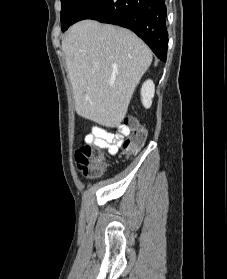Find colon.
<instances>
[{
    "mask_svg": "<svg viewBox=\"0 0 227 279\" xmlns=\"http://www.w3.org/2000/svg\"><path fill=\"white\" fill-rule=\"evenodd\" d=\"M126 124H129L133 131L131 136L124 141V155L129 157L136 154L146 141V131L140 127L137 121L133 118H127ZM94 141L91 138L86 139V143L81 145L75 153L76 165L86 175L92 177L97 176L105 165V159L97 147L93 146Z\"/></svg>",
    "mask_w": 227,
    "mask_h": 279,
    "instance_id": "colon-1",
    "label": "colon"
}]
</instances>
